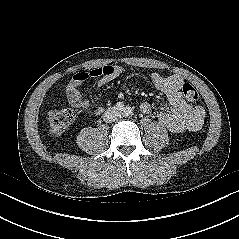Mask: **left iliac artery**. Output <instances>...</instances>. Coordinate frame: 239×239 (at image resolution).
Returning <instances> with one entry per match:
<instances>
[{"label": "left iliac artery", "mask_w": 239, "mask_h": 239, "mask_svg": "<svg viewBox=\"0 0 239 239\" xmlns=\"http://www.w3.org/2000/svg\"><path fill=\"white\" fill-rule=\"evenodd\" d=\"M124 113L126 116H131L132 115V110L130 107H126L124 110Z\"/></svg>", "instance_id": "44dca946"}]
</instances>
